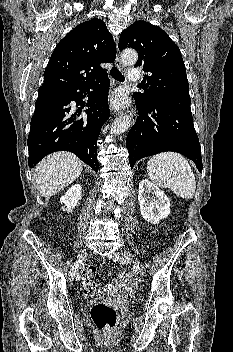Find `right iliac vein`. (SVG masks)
Instances as JSON below:
<instances>
[{
    "instance_id": "1",
    "label": "right iliac vein",
    "mask_w": 233,
    "mask_h": 352,
    "mask_svg": "<svg viewBox=\"0 0 233 352\" xmlns=\"http://www.w3.org/2000/svg\"><path fill=\"white\" fill-rule=\"evenodd\" d=\"M88 256V250L87 249H83V250H81L80 252H79V254H78V259L80 260V261H83V260H85V258ZM75 279H76V281H79L80 280V275L79 274H77L76 276H75Z\"/></svg>"
}]
</instances>
